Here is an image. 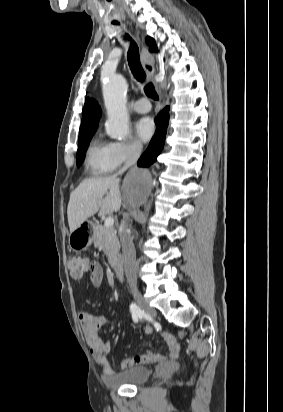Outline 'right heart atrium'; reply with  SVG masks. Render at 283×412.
Listing matches in <instances>:
<instances>
[{"label":"right heart atrium","mask_w":283,"mask_h":412,"mask_svg":"<svg viewBox=\"0 0 283 412\" xmlns=\"http://www.w3.org/2000/svg\"><path fill=\"white\" fill-rule=\"evenodd\" d=\"M110 158L118 167L134 161L142 152V145L135 139L109 143Z\"/></svg>","instance_id":"1"}]
</instances>
